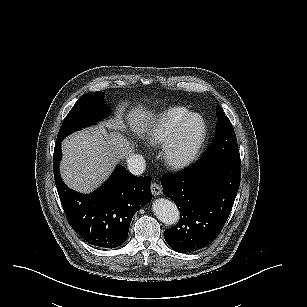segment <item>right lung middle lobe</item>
<instances>
[{
  "mask_svg": "<svg viewBox=\"0 0 307 307\" xmlns=\"http://www.w3.org/2000/svg\"><path fill=\"white\" fill-rule=\"evenodd\" d=\"M103 92L97 91L83 94L66 116L60 127L57 142L62 141L67 135L95 124L106 118L110 111L103 102Z\"/></svg>",
  "mask_w": 307,
  "mask_h": 307,
  "instance_id": "1",
  "label": "right lung middle lobe"
}]
</instances>
